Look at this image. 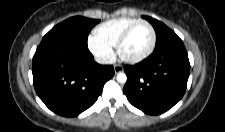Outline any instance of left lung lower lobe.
Returning a JSON list of instances; mask_svg holds the SVG:
<instances>
[{"mask_svg":"<svg viewBox=\"0 0 225 132\" xmlns=\"http://www.w3.org/2000/svg\"><path fill=\"white\" fill-rule=\"evenodd\" d=\"M124 94L138 109L151 115L164 113L184 95L190 63L183 43L154 51L147 59L125 66Z\"/></svg>","mask_w":225,"mask_h":132,"instance_id":"1","label":"left lung lower lobe"}]
</instances>
